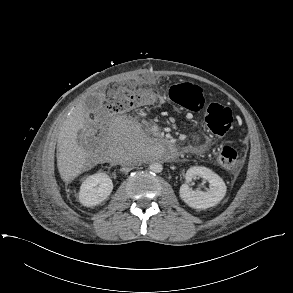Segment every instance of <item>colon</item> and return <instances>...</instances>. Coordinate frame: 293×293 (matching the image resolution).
<instances>
[{
	"instance_id": "5ec220e1",
	"label": "colon",
	"mask_w": 293,
	"mask_h": 293,
	"mask_svg": "<svg viewBox=\"0 0 293 293\" xmlns=\"http://www.w3.org/2000/svg\"><path fill=\"white\" fill-rule=\"evenodd\" d=\"M171 101L182 108L193 112H200L204 107L202 89L193 83H182L172 87ZM155 98L149 91H134L107 105L106 113L116 114L132 111L153 104ZM232 111L219 103H211L206 111L205 124L217 136L225 135L232 125ZM218 163L228 170H237L240 157L237 151L227 145L214 151Z\"/></svg>"
}]
</instances>
